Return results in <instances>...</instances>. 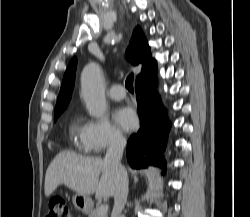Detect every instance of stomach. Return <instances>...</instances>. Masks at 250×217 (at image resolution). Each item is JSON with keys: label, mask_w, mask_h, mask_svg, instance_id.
Instances as JSON below:
<instances>
[{"label": "stomach", "mask_w": 250, "mask_h": 217, "mask_svg": "<svg viewBox=\"0 0 250 217\" xmlns=\"http://www.w3.org/2000/svg\"><path fill=\"white\" fill-rule=\"evenodd\" d=\"M72 201L75 208L83 214H89L93 208V201L88 195H80L76 193L73 196Z\"/></svg>", "instance_id": "stomach-1"}]
</instances>
